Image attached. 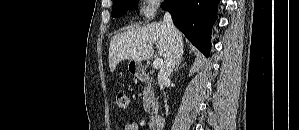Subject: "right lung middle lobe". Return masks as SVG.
<instances>
[{
	"mask_svg": "<svg viewBox=\"0 0 299 130\" xmlns=\"http://www.w3.org/2000/svg\"><path fill=\"white\" fill-rule=\"evenodd\" d=\"M138 0H115L113 1L112 17H121L127 9H136Z\"/></svg>",
	"mask_w": 299,
	"mask_h": 130,
	"instance_id": "1",
	"label": "right lung middle lobe"
}]
</instances>
